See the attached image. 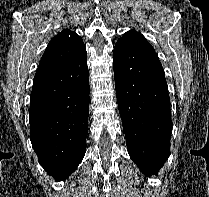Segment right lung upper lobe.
I'll return each instance as SVG.
<instances>
[{"label": "right lung upper lobe", "mask_w": 209, "mask_h": 197, "mask_svg": "<svg viewBox=\"0 0 209 197\" xmlns=\"http://www.w3.org/2000/svg\"><path fill=\"white\" fill-rule=\"evenodd\" d=\"M85 51L83 40L79 35L68 29L63 30L49 42L39 63L34 80L61 70Z\"/></svg>", "instance_id": "1"}]
</instances>
